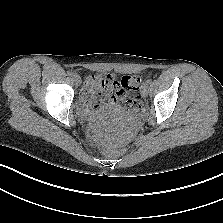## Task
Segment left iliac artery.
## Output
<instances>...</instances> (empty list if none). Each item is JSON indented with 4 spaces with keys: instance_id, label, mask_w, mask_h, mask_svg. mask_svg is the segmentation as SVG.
Instances as JSON below:
<instances>
[{
    "instance_id": "1",
    "label": "left iliac artery",
    "mask_w": 223,
    "mask_h": 223,
    "mask_svg": "<svg viewBox=\"0 0 223 223\" xmlns=\"http://www.w3.org/2000/svg\"><path fill=\"white\" fill-rule=\"evenodd\" d=\"M147 85L151 83V79L146 80L145 82Z\"/></svg>"
}]
</instances>
